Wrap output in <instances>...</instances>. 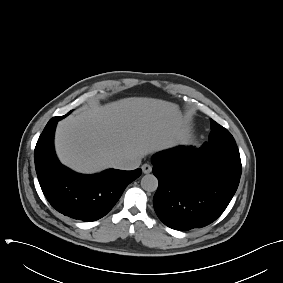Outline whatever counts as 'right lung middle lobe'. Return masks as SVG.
Wrapping results in <instances>:
<instances>
[{"label":"right lung middle lobe","instance_id":"dd1d6c3e","mask_svg":"<svg viewBox=\"0 0 283 283\" xmlns=\"http://www.w3.org/2000/svg\"><path fill=\"white\" fill-rule=\"evenodd\" d=\"M70 112H71V111H70ZM70 112H69V113H70ZM69 113H68V114H69ZM68 114H67V115H68ZM67 115L61 116V118H64V117H66Z\"/></svg>","mask_w":283,"mask_h":283}]
</instances>
